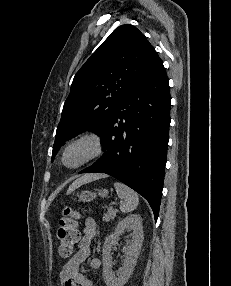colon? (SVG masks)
<instances>
[{
    "label": "colon",
    "instance_id": "obj_1",
    "mask_svg": "<svg viewBox=\"0 0 231 286\" xmlns=\"http://www.w3.org/2000/svg\"><path fill=\"white\" fill-rule=\"evenodd\" d=\"M59 241V255L61 258H68L72 255L75 245L80 239L78 228V213L70 207L63 210L57 230Z\"/></svg>",
    "mask_w": 231,
    "mask_h": 286
}]
</instances>
